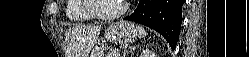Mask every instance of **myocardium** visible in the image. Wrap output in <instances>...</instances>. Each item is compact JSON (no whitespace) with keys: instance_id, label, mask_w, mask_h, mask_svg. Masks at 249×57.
Wrapping results in <instances>:
<instances>
[{"instance_id":"1","label":"myocardium","mask_w":249,"mask_h":57,"mask_svg":"<svg viewBox=\"0 0 249 57\" xmlns=\"http://www.w3.org/2000/svg\"><path fill=\"white\" fill-rule=\"evenodd\" d=\"M96 1L97 0H84V9L94 18L99 20H115L120 18L128 9L129 3L128 1H124L121 9L115 13L111 14H102L96 9Z\"/></svg>"}]
</instances>
